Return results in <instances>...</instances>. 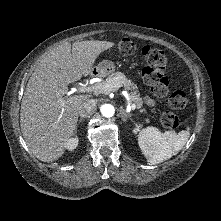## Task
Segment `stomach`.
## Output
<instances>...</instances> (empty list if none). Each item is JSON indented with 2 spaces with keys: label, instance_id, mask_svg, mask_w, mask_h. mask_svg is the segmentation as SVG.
Here are the masks:
<instances>
[{
  "label": "stomach",
  "instance_id": "stomach-1",
  "mask_svg": "<svg viewBox=\"0 0 221 221\" xmlns=\"http://www.w3.org/2000/svg\"><path fill=\"white\" fill-rule=\"evenodd\" d=\"M115 69L116 66L114 62L110 60H103L101 63L98 64V66L94 68V73L98 76L104 77L113 73Z\"/></svg>",
  "mask_w": 221,
  "mask_h": 221
}]
</instances>
